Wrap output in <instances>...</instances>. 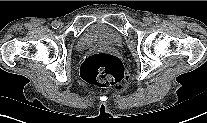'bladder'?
<instances>
[{
  "label": "bladder",
  "mask_w": 207,
  "mask_h": 123,
  "mask_svg": "<svg viewBox=\"0 0 207 123\" xmlns=\"http://www.w3.org/2000/svg\"><path fill=\"white\" fill-rule=\"evenodd\" d=\"M123 43L119 31L104 23L89 25L80 35L77 47L81 51L92 48H117Z\"/></svg>",
  "instance_id": "31cf9c89"
}]
</instances>
